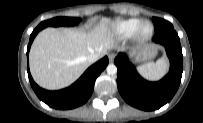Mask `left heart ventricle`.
<instances>
[{
	"label": "left heart ventricle",
	"mask_w": 203,
	"mask_h": 123,
	"mask_svg": "<svg viewBox=\"0 0 203 123\" xmlns=\"http://www.w3.org/2000/svg\"><path fill=\"white\" fill-rule=\"evenodd\" d=\"M151 31V26L149 24H144L141 28V34L143 36H146L150 33Z\"/></svg>",
	"instance_id": "left-heart-ventricle-1"
}]
</instances>
